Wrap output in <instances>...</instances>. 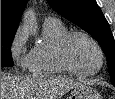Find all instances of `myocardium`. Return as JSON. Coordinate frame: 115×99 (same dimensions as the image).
<instances>
[{
  "label": "myocardium",
  "mask_w": 115,
  "mask_h": 99,
  "mask_svg": "<svg viewBox=\"0 0 115 99\" xmlns=\"http://www.w3.org/2000/svg\"><path fill=\"white\" fill-rule=\"evenodd\" d=\"M78 36L87 39L95 46V48L99 54V59H100L99 65L95 70L82 71V70L76 68L70 61V59L68 57V53H67L68 44L74 37H78ZM56 55H57V59L60 62V64L68 72H71L73 74L83 76V77H89V76H93V75L99 73L101 71V69L103 68L104 62H105V56H104V52H103L101 45L98 43V41L94 37H92L90 34L84 32V31H69L67 34H65L61 38V40L57 46Z\"/></svg>",
  "instance_id": "myocardium-1"
}]
</instances>
